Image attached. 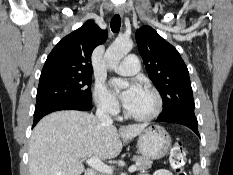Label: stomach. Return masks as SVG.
I'll list each match as a JSON object with an SVG mask.
<instances>
[{"label": "stomach", "instance_id": "stomach-1", "mask_svg": "<svg viewBox=\"0 0 233 175\" xmlns=\"http://www.w3.org/2000/svg\"><path fill=\"white\" fill-rule=\"evenodd\" d=\"M137 146L143 157L158 160L169 151L171 138L163 127L152 125L139 134Z\"/></svg>", "mask_w": 233, "mask_h": 175}]
</instances>
